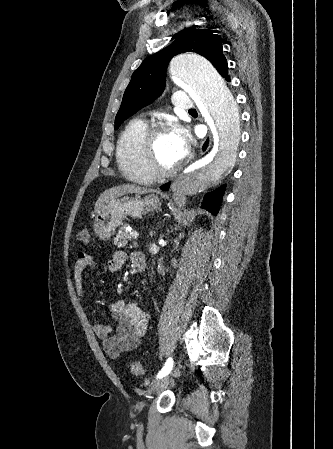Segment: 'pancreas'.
Returning <instances> with one entry per match:
<instances>
[{
	"label": "pancreas",
	"mask_w": 333,
	"mask_h": 449,
	"mask_svg": "<svg viewBox=\"0 0 333 449\" xmlns=\"http://www.w3.org/2000/svg\"><path fill=\"white\" fill-rule=\"evenodd\" d=\"M131 240V232L127 231V225L120 228L116 238L114 239V245L119 247L126 246Z\"/></svg>",
	"instance_id": "1"
}]
</instances>
